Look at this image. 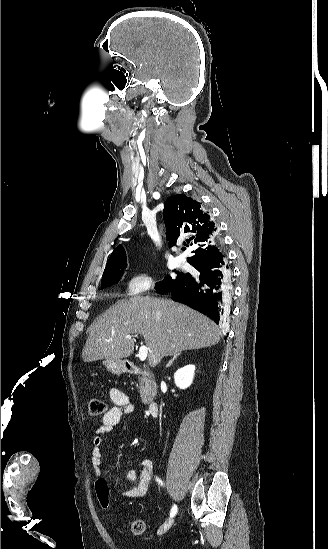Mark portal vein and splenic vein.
Returning a JSON list of instances; mask_svg holds the SVG:
<instances>
[{
  "instance_id": "obj_1",
  "label": "portal vein and splenic vein",
  "mask_w": 328,
  "mask_h": 549,
  "mask_svg": "<svg viewBox=\"0 0 328 549\" xmlns=\"http://www.w3.org/2000/svg\"><path fill=\"white\" fill-rule=\"evenodd\" d=\"M127 339H132V337H135V339H138V335H126ZM108 343H111V341H108ZM141 347L139 349L138 357L140 361H145L147 359L148 355V349L143 345V343H140Z\"/></svg>"
}]
</instances>
